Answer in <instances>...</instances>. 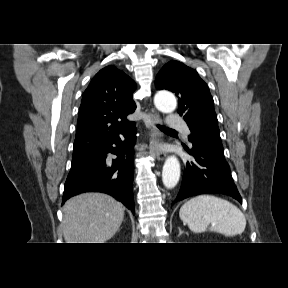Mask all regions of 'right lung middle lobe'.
I'll return each instance as SVG.
<instances>
[{
    "mask_svg": "<svg viewBox=\"0 0 288 288\" xmlns=\"http://www.w3.org/2000/svg\"><path fill=\"white\" fill-rule=\"evenodd\" d=\"M80 156H82V155H80ZM80 156H77L76 153H73V158H77V157H80Z\"/></svg>",
    "mask_w": 288,
    "mask_h": 288,
    "instance_id": "dd1d6c3e",
    "label": "right lung middle lobe"
}]
</instances>
